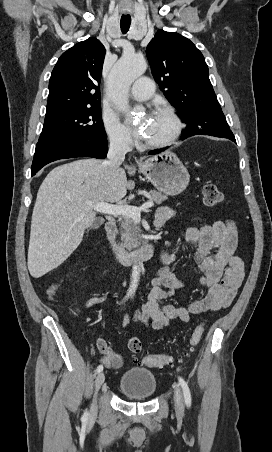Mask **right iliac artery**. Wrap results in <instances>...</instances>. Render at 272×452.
I'll use <instances>...</instances> for the list:
<instances>
[{
    "label": "right iliac artery",
    "instance_id": "obj_1",
    "mask_svg": "<svg viewBox=\"0 0 272 452\" xmlns=\"http://www.w3.org/2000/svg\"><path fill=\"white\" fill-rule=\"evenodd\" d=\"M102 370H103V366H102V365H99V366L97 367V369H96V373H100ZM87 417H88V413L85 412L84 415H83V418H84V419H87Z\"/></svg>",
    "mask_w": 272,
    "mask_h": 452
}]
</instances>
